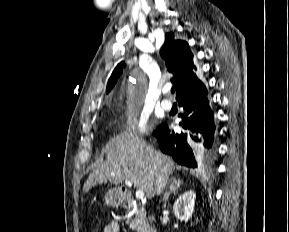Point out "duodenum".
<instances>
[{
    "label": "duodenum",
    "instance_id": "obj_1",
    "mask_svg": "<svg viewBox=\"0 0 289 232\" xmlns=\"http://www.w3.org/2000/svg\"><path fill=\"white\" fill-rule=\"evenodd\" d=\"M118 201L119 203L126 207V208H132L135 206V200L132 195V193L128 190H122L118 195ZM148 232H157L155 228L151 227Z\"/></svg>",
    "mask_w": 289,
    "mask_h": 232
}]
</instances>
